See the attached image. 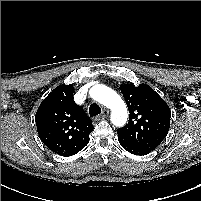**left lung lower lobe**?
<instances>
[{
  "label": "left lung lower lobe",
  "mask_w": 201,
  "mask_h": 201,
  "mask_svg": "<svg viewBox=\"0 0 201 201\" xmlns=\"http://www.w3.org/2000/svg\"><path fill=\"white\" fill-rule=\"evenodd\" d=\"M118 140L120 145L128 152L135 154V155H147L149 154L151 151L139 146L133 142H131L130 140H128L127 138H125L124 136L118 134Z\"/></svg>",
  "instance_id": "left-lung-lower-lobe-1"
}]
</instances>
